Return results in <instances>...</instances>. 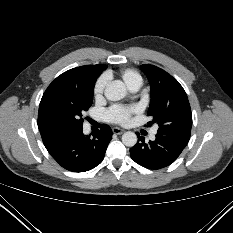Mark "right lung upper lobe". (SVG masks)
Returning a JSON list of instances; mask_svg holds the SVG:
<instances>
[{
  "instance_id": "right-lung-upper-lobe-1",
  "label": "right lung upper lobe",
  "mask_w": 233,
  "mask_h": 233,
  "mask_svg": "<svg viewBox=\"0 0 233 233\" xmlns=\"http://www.w3.org/2000/svg\"><path fill=\"white\" fill-rule=\"evenodd\" d=\"M107 68L106 65H85L81 67H76L70 69L60 76H58L47 88L45 93L63 86H72V85H81L83 83L93 81L97 79L102 71ZM40 130V129H39ZM42 139L48 137L49 135L53 134L50 132H46L40 130Z\"/></svg>"
}]
</instances>
